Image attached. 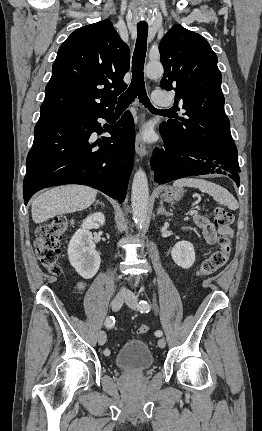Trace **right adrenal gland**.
Here are the masks:
<instances>
[{
  "label": "right adrenal gland",
  "instance_id": "2a0ac1e0",
  "mask_svg": "<svg viewBox=\"0 0 262 431\" xmlns=\"http://www.w3.org/2000/svg\"><path fill=\"white\" fill-rule=\"evenodd\" d=\"M97 204L104 206V204L102 202H100L99 200L96 201L95 205H97Z\"/></svg>",
  "mask_w": 262,
  "mask_h": 431
}]
</instances>
